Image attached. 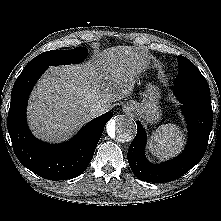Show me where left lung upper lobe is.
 <instances>
[{"mask_svg":"<svg viewBox=\"0 0 221 221\" xmlns=\"http://www.w3.org/2000/svg\"><path fill=\"white\" fill-rule=\"evenodd\" d=\"M179 72L174 82L205 80L200 71L185 57L178 56Z\"/></svg>","mask_w":221,"mask_h":221,"instance_id":"1","label":"left lung upper lobe"}]
</instances>
